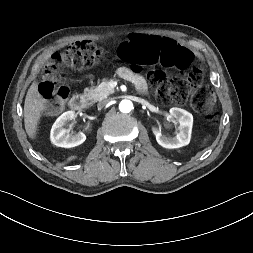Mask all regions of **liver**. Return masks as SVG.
<instances>
[{"label": "liver", "instance_id": "liver-1", "mask_svg": "<svg viewBox=\"0 0 253 253\" xmlns=\"http://www.w3.org/2000/svg\"><path fill=\"white\" fill-rule=\"evenodd\" d=\"M45 100L38 91V85L33 82L28 89L24 104V124L25 130L31 139H34L37 133V126L44 109Z\"/></svg>", "mask_w": 253, "mask_h": 253}]
</instances>
